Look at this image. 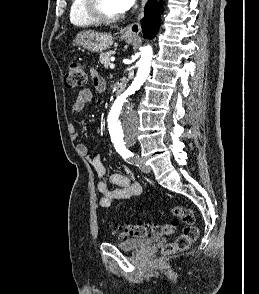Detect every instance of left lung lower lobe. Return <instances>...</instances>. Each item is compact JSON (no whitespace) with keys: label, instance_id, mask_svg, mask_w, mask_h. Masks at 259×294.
Masks as SVG:
<instances>
[{"label":"left lung lower lobe","instance_id":"0a47b994","mask_svg":"<svg viewBox=\"0 0 259 294\" xmlns=\"http://www.w3.org/2000/svg\"><path fill=\"white\" fill-rule=\"evenodd\" d=\"M162 8V3L156 0H149L145 6V17L141 20L145 38H153L158 31Z\"/></svg>","mask_w":259,"mask_h":294}]
</instances>
